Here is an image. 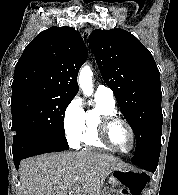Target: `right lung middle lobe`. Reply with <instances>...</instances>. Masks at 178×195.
I'll list each match as a JSON object with an SVG mask.
<instances>
[{
    "label": "right lung middle lobe",
    "mask_w": 178,
    "mask_h": 195,
    "mask_svg": "<svg viewBox=\"0 0 178 195\" xmlns=\"http://www.w3.org/2000/svg\"><path fill=\"white\" fill-rule=\"evenodd\" d=\"M73 97L28 92L12 96L13 139L19 136L57 135L65 138L63 120Z\"/></svg>",
    "instance_id": "right-lung-middle-lobe-1"
}]
</instances>
